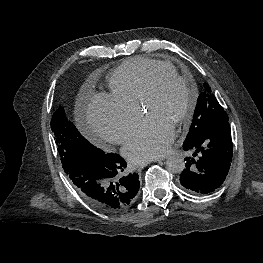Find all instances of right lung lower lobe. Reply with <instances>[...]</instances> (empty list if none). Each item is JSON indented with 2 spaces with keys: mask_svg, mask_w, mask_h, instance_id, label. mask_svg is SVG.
Returning a JSON list of instances; mask_svg holds the SVG:
<instances>
[{
  "mask_svg": "<svg viewBox=\"0 0 263 263\" xmlns=\"http://www.w3.org/2000/svg\"><path fill=\"white\" fill-rule=\"evenodd\" d=\"M127 164L118 154L82 157L66 173L81 196L91 205L108 212L128 208L136 199V173L123 175Z\"/></svg>",
  "mask_w": 263,
  "mask_h": 263,
  "instance_id": "1",
  "label": "right lung lower lobe"
}]
</instances>
